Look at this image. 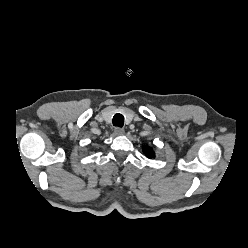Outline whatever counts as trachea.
<instances>
[{
	"label": "trachea",
	"instance_id": "trachea-1",
	"mask_svg": "<svg viewBox=\"0 0 248 248\" xmlns=\"http://www.w3.org/2000/svg\"><path fill=\"white\" fill-rule=\"evenodd\" d=\"M113 125L117 127H122L124 125V116L122 114H115L113 117Z\"/></svg>",
	"mask_w": 248,
	"mask_h": 248
}]
</instances>
